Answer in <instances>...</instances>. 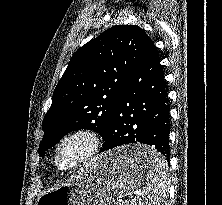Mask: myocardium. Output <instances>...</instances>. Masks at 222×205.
<instances>
[{
  "mask_svg": "<svg viewBox=\"0 0 222 205\" xmlns=\"http://www.w3.org/2000/svg\"><path fill=\"white\" fill-rule=\"evenodd\" d=\"M74 139L83 140L86 143V148L75 162L68 166H61L58 160V153L64 144ZM100 142L99 134L91 128L81 127L70 131L63 136L54 147L53 161L55 166L61 171H71L79 168L97 153Z\"/></svg>",
  "mask_w": 222,
  "mask_h": 205,
  "instance_id": "myocardium-1",
  "label": "myocardium"
}]
</instances>
